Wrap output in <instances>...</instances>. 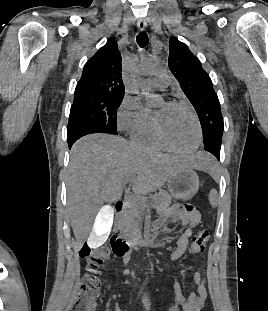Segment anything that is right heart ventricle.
<instances>
[{
	"label": "right heart ventricle",
	"instance_id": "obj_1",
	"mask_svg": "<svg viewBox=\"0 0 268 311\" xmlns=\"http://www.w3.org/2000/svg\"><path fill=\"white\" fill-rule=\"evenodd\" d=\"M131 140L141 147L150 148V149H163L165 146L158 139L155 129L154 121L151 118L150 122L138 130L137 132L131 135Z\"/></svg>",
	"mask_w": 268,
	"mask_h": 311
}]
</instances>
